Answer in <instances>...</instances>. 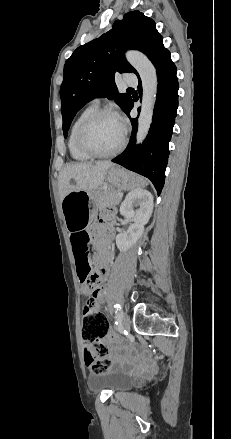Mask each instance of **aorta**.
<instances>
[{
	"instance_id": "aorta-1",
	"label": "aorta",
	"mask_w": 231,
	"mask_h": 439,
	"mask_svg": "<svg viewBox=\"0 0 231 439\" xmlns=\"http://www.w3.org/2000/svg\"><path fill=\"white\" fill-rule=\"evenodd\" d=\"M128 62L137 70L142 81V104L138 119L137 144L142 143L152 123L157 94V73L152 62L141 52L126 53Z\"/></svg>"
}]
</instances>
